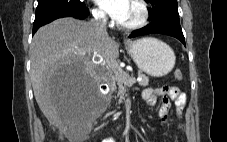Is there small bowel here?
<instances>
[{"mask_svg": "<svg viewBox=\"0 0 227 142\" xmlns=\"http://www.w3.org/2000/svg\"><path fill=\"white\" fill-rule=\"evenodd\" d=\"M163 97L162 104L158 111V116L164 124L169 122L170 118V101L168 97L174 100L179 113L184 109L186 103L185 94L177 87H170L167 85L153 88H145L142 91L143 100L150 106H155L158 97ZM102 142H116L113 138H106Z\"/></svg>", "mask_w": 227, "mask_h": 142, "instance_id": "obj_1", "label": "small bowel"}]
</instances>
